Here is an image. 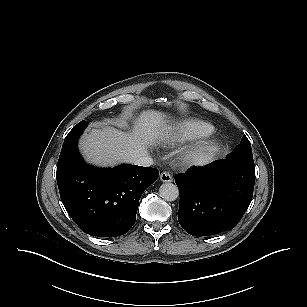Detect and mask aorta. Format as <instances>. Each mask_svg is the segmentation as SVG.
<instances>
[{
	"mask_svg": "<svg viewBox=\"0 0 307 307\" xmlns=\"http://www.w3.org/2000/svg\"><path fill=\"white\" fill-rule=\"evenodd\" d=\"M159 195L165 201H174L179 197V190L173 183H164L159 188Z\"/></svg>",
	"mask_w": 307,
	"mask_h": 307,
	"instance_id": "aorta-1",
	"label": "aorta"
}]
</instances>
